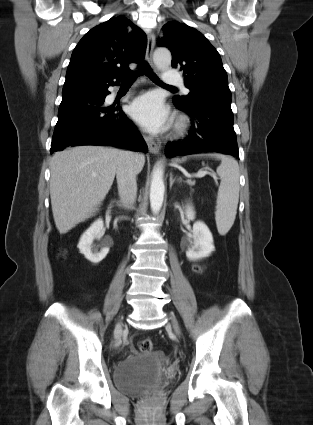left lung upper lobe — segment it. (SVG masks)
<instances>
[{
	"instance_id": "5c2ea615",
	"label": "left lung upper lobe",
	"mask_w": 313,
	"mask_h": 425,
	"mask_svg": "<svg viewBox=\"0 0 313 425\" xmlns=\"http://www.w3.org/2000/svg\"><path fill=\"white\" fill-rule=\"evenodd\" d=\"M164 37L159 46L172 53V66L183 70L185 85L190 93L173 97L181 106L211 101L231 104V91L221 57L205 36L196 29L177 21L163 26Z\"/></svg>"
}]
</instances>
